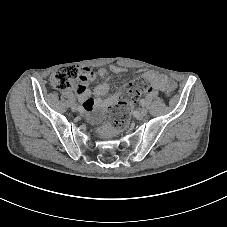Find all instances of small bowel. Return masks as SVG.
I'll return each instance as SVG.
<instances>
[{
    "label": "small bowel",
    "mask_w": 227,
    "mask_h": 227,
    "mask_svg": "<svg viewBox=\"0 0 227 227\" xmlns=\"http://www.w3.org/2000/svg\"><path fill=\"white\" fill-rule=\"evenodd\" d=\"M110 70L115 73L124 72L125 69L119 65L113 64ZM106 75L105 69H100L98 73L92 71L90 68H83L80 74V80L75 86V91L79 96L83 109L87 114L93 113L97 109H104L112 105L115 97L111 96L104 98L110 90L108 83L103 82L93 88H89L87 83L95 80L97 76L104 77ZM144 77L149 82V92L161 91L167 96H170L176 89V83L164 74L148 72Z\"/></svg>",
    "instance_id": "small-bowel-1"
}]
</instances>
